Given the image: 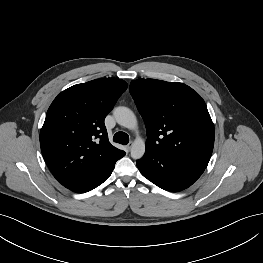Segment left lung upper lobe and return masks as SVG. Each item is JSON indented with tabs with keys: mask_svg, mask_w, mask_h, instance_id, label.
<instances>
[{
	"mask_svg": "<svg viewBox=\"0 0 263 263\" xmlns=\"http://www.w3.org/2000/svg\"><path fill=\"white\" fill-rule=\"evenodd\" d=\"M129 89L147 128L146 152L206 168L215 131L200 95L183 83L155 79L133 80Z\"/></svg>",
	"mask_w": 263,
	"mask_h": 263,
	"instance_id": "obj_1",
	"label": "left lung upper lobe"
}]
</instances>
